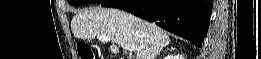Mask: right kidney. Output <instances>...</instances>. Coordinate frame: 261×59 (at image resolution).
<instances>
[{"instance_id": "obj_1", "label": "right kidney", "mask_w": 261, "mask_h": 59, "mask_svg": "<svg viewBox=\"0 0 261 59\" xmlns=\"http://www.w3.org/2000/svg\"><path fill=\"white\" fill-rule=\"evenodd\" d=\"M165 59H183V57L179 54L175 55V56H168Z\"/></svg>"}]
</instances>
